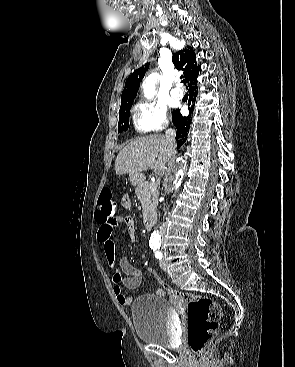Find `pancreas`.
Returning <instances> with one entry per match:
<instances>
[{
  "label": "pancreas",
  "mask_w": 295,
  "mask_h": 367,
  "mask_svg": "<svg viewBox=\"0 0 295 367\" xmlns=\"http://www.w3.org/2000/svg\"><path fill=\"white\" fill-rule=\"evenodd\" d=\"M156 183L143 181L135 189V193L140 200L143 208V217L156 210L158 204V191Z\"/></svg>",
  "instance_id": "cf45deb5"
}]
</instances>
